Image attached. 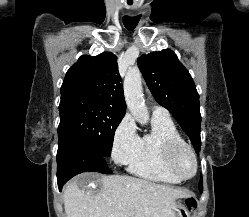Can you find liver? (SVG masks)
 <instances>
[{"instance_id":"obj_1","label":"liver","mask_w":249,"mask_h":217,"mask_svg":"<svg viewBox=\"0 0 249 217\" xmlns=\"http://www.w3.org/2000/svg\"><path fill=\"white\" fill-rule=\"evenodd\" d=\"M101 188L86 191L78 180ZM188 194L131 176L84 174L64 189L67 217H175V200Z\"/></svg>"}]
</instances>
